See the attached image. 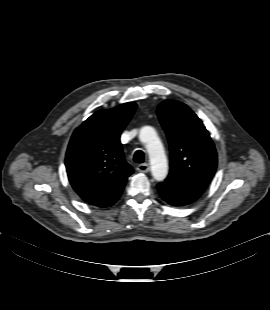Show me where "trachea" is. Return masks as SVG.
Segmentation results:
<instances>
[{"label": "trachea", "instance_id": "3493384b", "mask_svg": "<svg viewBox=\"0 0 270 310\" xmlns=\"http://www.w3.org/2000/svg\"><path fill=\"white\" fill-rule=\"evenodd\" d=\"M144 158H145L144 152L141 151V150H137V151L134 153L133 161H134L135 163L141 164V163L144 162Z\"/></svg>", "mask_w": 270, "mask_h": 310}]
</instances>
